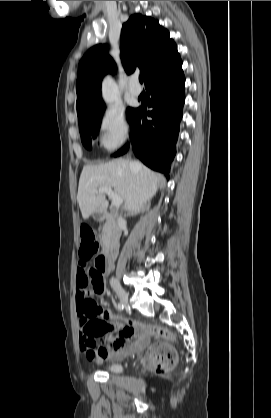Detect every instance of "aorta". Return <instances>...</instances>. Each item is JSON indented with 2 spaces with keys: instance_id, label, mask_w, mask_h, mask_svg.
<instances>
[{
  "instance_id": "762f6f07",
  "label": "aorta",
  "mask_w": 271,
  "mask_h": 418,
  "mask_svg": "<svg viewBox=\"0 0 271 418\" xmlns=\"http://www.w3.org/2000/svg\"><path fill=\"white\" fill-rule=\"evenodd\" d=\"M102 89L104 100L107 103L112 104L115 100V87L111 78L107 77L104 79Z\"/></svg>"
}]
</instances>
